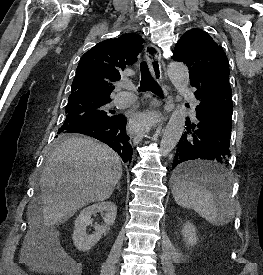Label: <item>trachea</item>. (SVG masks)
Listing matches in <instances>:
<instances>
[{"mask_svg": "<svg viewBox=\"0 0 263 275\" xmlns=\"http://www.w3.org/2000/svg\"><path fill=\"white\" fill-rule=\"evenodd\" d=\"M141 82L139 90L142 92L151 91L154 94L163 97V91L157 82L152 78L148 65L145 61L141 62Z\"/></svg>", "mask_w": 263, "mask_h": 275, "instance_id": "3493384b", "label": "trachea"}]
</instances>
